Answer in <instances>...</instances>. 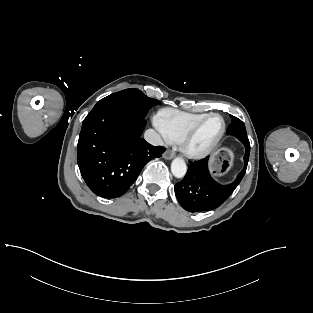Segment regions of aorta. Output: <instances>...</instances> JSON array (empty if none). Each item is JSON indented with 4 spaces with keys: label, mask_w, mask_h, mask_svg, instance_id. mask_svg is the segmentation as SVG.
<instances>
[{
    "label": "aorta",
    "mask_w": 313,
    "mask_h": 313,
    "mask_svg": "<svg viewBox=\"0 0 313 313\" xmlns=\"http://www.w3.org/2000/svg\"><path fill=\"white\" fill-rule=\"evenodd\" d=\"M171 172L176 178H183L187 172V166L182 158H175L171 163Z\"/></svg>",
    "instance_id": "obj_1"
}]
</instances>
